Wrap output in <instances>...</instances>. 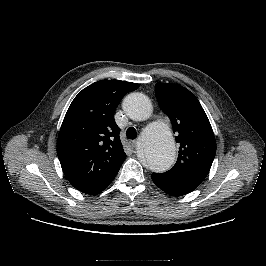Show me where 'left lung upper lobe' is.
<instances>
[{
    "label": "left lung upper lobe",
    "mask_w": 266,
    "mask_h": 266,
    "mask_svg": "<svg viewBox=\"0 0 266 266\" xmlns=\"http://www.w3.org/2000/svg\"><path fill=\"white\" fill-rule=\"evenodd\" d=\"M156 96L180 144L176 164L162 174L197 188L208 175L216 153V140L208 117L198 99L182 86L157 83Z\"/></svg>",
    "instance_id": "1"
}]
</instances>
